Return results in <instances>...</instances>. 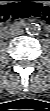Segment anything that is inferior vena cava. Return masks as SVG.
<instances>
[{
  "instance_id": "1",
  "label": "inferior vena cava",
  "mask_w": 50,
  "mask_h": 111,
  "mask_svg": "<svg viewBox=\"0 0 50 111\" xmlns=\"http://www.w3.org/2000/svg\"><path fill=\"white\" fill-rule=\"evenodd\" d=\"M24 33V31L22 29L16 28L11 32L12 36H18V35H22Z\"/></svg>"
}]
</instances>
